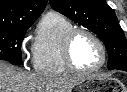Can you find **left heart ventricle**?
<instances>
[{
  "instance_id": "b2bd125f",
  "label": "left heart ventricle",
  "mask_w": 127,
  "mask_h": 92,
  "mask_svg": "<svg viewBox=\"0 0 127 92\" xmlns=\"http://www.w3.org/2000/svg\"><path fill=\"white\" fill-rule=\"evenodd\" d=\"M72 57L80 69H91L101 61V52L96 42L87 34H79L72 46Z\"/></svg>"
}]
</instances>
